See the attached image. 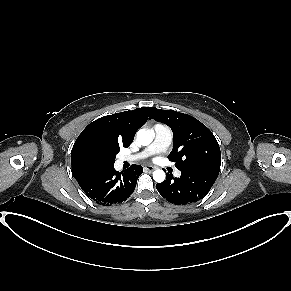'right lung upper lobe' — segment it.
<instances>
[{
	"instance_id": "cb5924a9",
	"label": "right lung upper lobe",
	"mask_w": 291,
	"mask_h": 291,
	"mask_svg": "<svg viewBox=\"0 0 291 291\" xmlns=\"http://www.w3.org/2000/svg\"><path fill=\"white\" fill-rule=\"evenodd\" d=\"M154 107H142L101 117L90 123L78 136L71 151L72 174L77 181L101 171L89 166L84 158L86 148L91 144L128 147L136 131L151 119Z\"/></svg>"
}]
</instances>
